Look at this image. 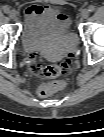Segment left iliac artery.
<instances>
[{"instance_id":"obj_1","label":"left iliac artery","mask_w":104,"mask_h":137,"mask_svg":"<svg viewBox=\"0 0 104 137\" xmlns=\"http://www.w3.org/2000/svg\"><path fill=\"white\" fill-rule=\"evenodd\" d=\"M88 10H89L90 12H93V11L95 10V7H94L93 5H90L89 8H88Z\"/></svg>"}]
</instances>
